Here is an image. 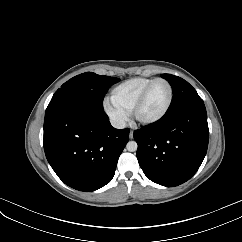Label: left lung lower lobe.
Masks as SVG:
<instances>
[{"label":"left lung lower lobe","mask_w":242,"mask_h":242,"mask_svg":"<svg viewBox=\"0 0 242 242\" xmlns=\"http://www.w3.org/2000/svg\"><path fill=\"white\" fill-rule=\"evenodd\" d=\"M137 158L153 182L173 187L189 180L207 152L209 129L204 103L183 106L134 132Z\"/></svg>","instance_id":"1"}]
</instances>
